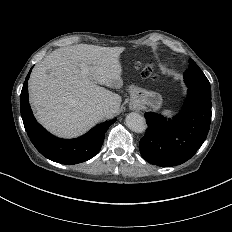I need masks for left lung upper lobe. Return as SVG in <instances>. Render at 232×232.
Wrapping results in <instances>:
<instances>
[{
  "label": "left lung upper lobe",
  "instance_id": "obj_1",
  "mask_svg": "<svg viewBox=\"0 0 232 232\" xmlns=\"http://www.w3.org/2000/svg\"><path fill=\"white\" fill-rule=\"evenodd\" d=\"M183 76L188 90L196 91L211 99L210 83L199 66L192 59L189 60V67Z\"/></svg>",
  "mask_w": 232,
  "mask_h": 232
}]
</instances>
